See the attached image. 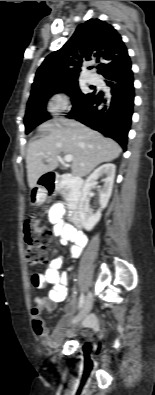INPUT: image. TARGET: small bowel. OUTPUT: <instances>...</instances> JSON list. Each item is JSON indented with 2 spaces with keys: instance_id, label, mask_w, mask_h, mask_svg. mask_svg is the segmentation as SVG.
<instances>
[{
  "instance_id": "c3829d8e",
  "label": "small bowel",
  "mask_w": 155,
  "mask_h": 395,
  "mask_svg": "<svg viewBox=\"0 0 155 395\" xmlns=\"http://www.w3.org/2000/svg\"><path fill=\"white\" fill-rule=\"evenodd\" d=\"M64 214V205L56 203L50 208L48 219L53 224L54 233L60 242L68 248L73 258H78L87 244V237L65 223L63 220ZM62 263L61 258L54 259L43 275L39 267H34L30 279L32 292H47V286H53L46 297L35 299V306L31 310L33 331L36 337L49 347L59 346L66 336H71L75 332L74 329L66 330L73 314V304L66 306L63 318L52 333L49 332L41 317L43 310H54L55 304L64 301L67 296L68 275L67 273H60ZM85 325L96 328V318L94 316L88 317L85 320Z\"/></svg>"
}]
</instances>
